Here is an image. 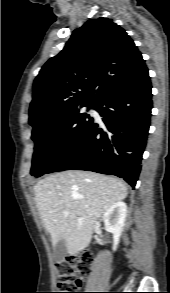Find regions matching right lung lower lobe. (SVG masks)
Returning <instances> with one entry per match:
<instances>
[{
	"label": "right lung lower lobe",
	"mask_w": 170,
	"mask_h": 293,
	"mask_svg": "<svg viewBox=\"0 0 170 293\" xmlns=\"http://www.w3.org/2000/svg\"><path fill=\"white\" fill-rule=\"evenodd\" d=\"M94 108L103 123L92 121L47 173L87 170L116 175L134 187L150 126L148 69L107 91Z\"/></svg>",
	"instance_id": "98d812e1"
}]
</instances>
